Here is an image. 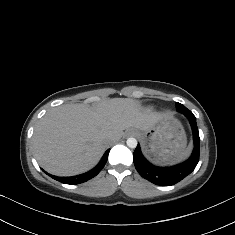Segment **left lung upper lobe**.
Here are the masks:
<instances>
[{"mask_svg": "<svg viewBox=\"0 0 235 235\" xmlns=\"http://www.w3.org/2000/svg\"><path fill=\"white\" fill-rule=\"evenodd\" d=\"M176 109L178 112H181L183 114H187V113H192L189 109H187L184 105L180 104V103H176Z\"/></svg>", "mask_w": 235, "mask_h": 235, "instance_id": "5c2ea615", "label": "left lung upper lobe"}]
</instances>
